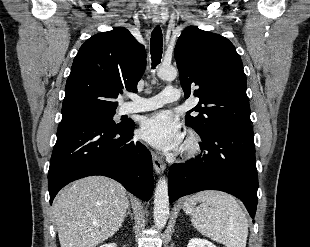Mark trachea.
<instances>
[{
    "label": "trachea",
    "instance_id": "trachea-1",
    "mask_svg": "<svg viewBox=\"0 0 310 247\" xmlns=\"http://www.w3.org/2000/svg\"><path fill=\"white\" fill-rule=\"evenodd\" d=\"M151 59H152V67L154 68L156 65L160 63L162 57V47H163V38L162 31L159 26L155 27L151 34Z\"/></svg>",
    "mask_w": 310,
    "mask_h": 247
}]
</instances>
